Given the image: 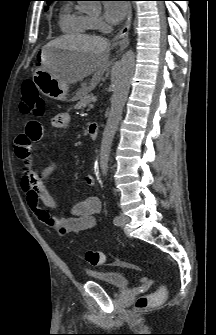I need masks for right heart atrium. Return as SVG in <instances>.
Returning a JSON list of instances; mask_svg holds the SVG:
<instances>
[{
    "label": "right heart atrium",
    "mask_w": 216,
    "mask_h": 335,
    "mask_svg": "<svg viewBox=\"0 0 216 335\" xmlns=\"http://www.w3.org/2000/svg\"><path fill=\"white\" fill-rule=\"evenodd\" d=\"M92 23H93L94 29L99 30V31L103 30L105 27L102 20L98 17H93Z\"/></svg>",
    "instance_id": "d8ad5b80"
}]
</instances>
